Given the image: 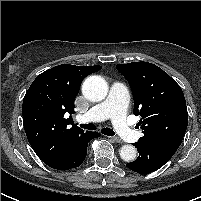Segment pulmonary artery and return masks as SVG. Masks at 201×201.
I'll return each instance as SVG.
<instances>
[{
	"label": "pulmonary artery",
	"mask_w": 201,
	"mask_h": 201,
	"mask_svg": "<svg viewBox=\"0 0 201 201\" xmlns=\"http://www.w3.org/2000/svg\"><path fill=\"white\" fill-rule=\"evenodd\" d=\"M129 102V92L120 82H114L107 98L92 107L83 115L77 116L79 122H98L111 119L113 126L122 139L136 142L140 133L134 130L126 121V109Z\"/></svg>",
	"instance_id": "1"
}]
</instances>
